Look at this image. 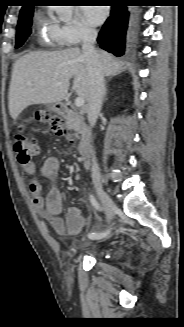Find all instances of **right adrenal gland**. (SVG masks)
<instances>
[{"instance_id":"right-adrenal-gland-1","label":"right adrenal gland","mask_w":184,"mask_h":327,"mask_svg":"<svg viewBox=\"0 0 184 327\" xmlns=\"http://www.w3.org/2000/svg\"><path fill=\"white\" fill-rule=\"evenodd\" d=\"M106 93H107V89H106V87H105L104 98H105V96H106Z\"/></svg>"}]
</instances>
